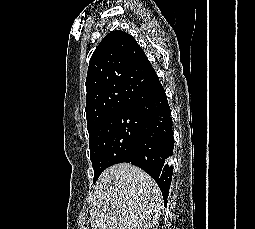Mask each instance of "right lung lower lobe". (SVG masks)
Listing matches in <instances>:
<instances>
[{
	"mask_svg": "<svg viewBox=\"0 0 255 229\" xmlns=\"http://www.w3.org/2000/svg\"><path fill=\"white\" fill-rule=\"evenodd\" d=\"M125 109L137 115L142 122L128 163L140 167L157 182L166 206L173 174L174 138L170 107L157 75L142 97Z\"/></svg>",
	"mask_w": 255,
	"mask_h": 229,
	"instance_id": "98d812e1",
	"label": "right lung lower lobe"
}]
</instances>
